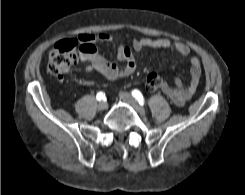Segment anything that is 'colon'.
Instances as JSON below:
<instances>
[{
    "label": "colon",
    "instance_id": "obj_1",
    "mask_svg": "<svg viewBox=\"0 0 245 195\" xmlns=\"http://www.w3.org/2000/svg\"><path fill=\"white\" fill-rule=\"evenodd\" d=\"M86 49H88L86 47ZM78 42L74 39H65L55 44L53 47L47 66L48 73L56 78H61L69 73L77 63ZM165 84L163 76L157 73H150L145 80V89L147 92H156Z\"/></svg>",
    "mask_w": 245,
    "mask_h": 195
}]
</instances>
